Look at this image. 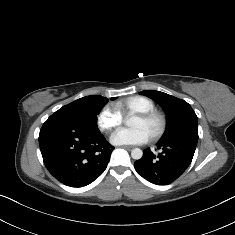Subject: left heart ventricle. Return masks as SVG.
I'll return each instance as SVG.
<instances>
[{
    "instance_id": "1",
    "label": "left heart ventricle",
    "mask_w": 235,
    "mask_h": 235,
    "mask_svg": "<svg viewBox=\"0 0 235 235\" xmlns=\"http://www.w3.org/2000/svg\"><path fill=\"white\" fill-rule=\"evenodd\" d=\"M131 127L132 128H143L150 135L153 131H155L158 128V122L154 121V122L148 124V123H145L143 120H141L139 117H136L133 120Z\"/></svg>"
}]
</instances>
